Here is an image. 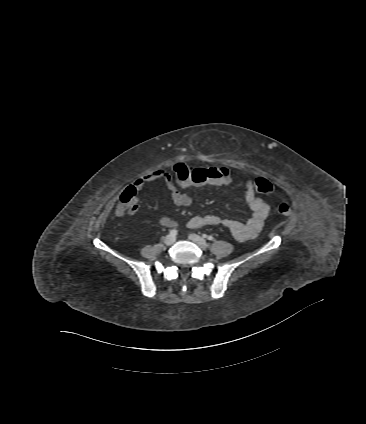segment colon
Listing matches in <instances>:
<instances>
[{"instance_id": "5ec220e1", "label": "colon", "mask_w": 366, "mask_h": 424, "mask_svg": "<svg viewBox=\"0 0 366 424\" xmlns=\"http://www.w3.org/2000/svg\"><path fill=\"white\" fill-rule=\"evenodd\" d=\"M216 169L217 167L194 168L184 163H178L174 166V174L177 181L182 186H203L210 185L214 180L221 177V175L216 172ZM221 172L225 176L223 180L227 182L229 171L221 170ZM255 187L258 192L263 194H270L275 190L274 186L264 178H257L255 180ZM135 193L134 188H128L121 194L116 209L118 215H130L137 210ZM278 212L281 215L288 216L291 214V207L287 203H281L278 206Z\"/></svg>"}]
</instances>
